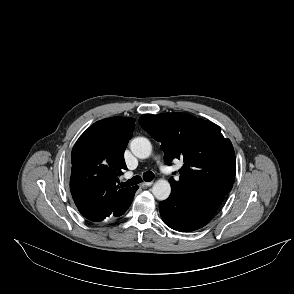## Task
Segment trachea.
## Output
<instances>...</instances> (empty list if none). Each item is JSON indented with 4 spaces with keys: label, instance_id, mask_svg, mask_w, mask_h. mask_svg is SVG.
Wrapping results in <instances>:
<instances>
[{
    "label": "trachea",
    "instance_id": "obj_1",
    "mask_svg": "<svg viewBox=\"0 0 294 294\" xmlns=\"http://www.w3.org/2000/svg\"><path fill=\"white\" fill-rule=\"evenodd\" d=\"M143 179L146 182H150L154 179V173L151 171H147L143 174ZM142 181V178L140 176H134L133 178H131L130 180L121 183V186L123 187H130L136 184H139Z\"/></svg>",
    "mask_w": 294,
    "mask_h": 294
}]
</instances>
